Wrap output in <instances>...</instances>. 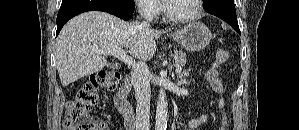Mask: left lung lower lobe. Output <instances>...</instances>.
<instances>
[{
    "mask_svg": "<svg viewBox=\"0 0 299 130\" xmlns=\"http://www.w3.org/2000/svg\"><path fill=\"white\" fill-rule=\"evenodd\" d=\"M204 9L206 12L227 22L237 33L240 34L234 0H207L204 2Z\"/></svg>",
    "mask_w": 299,
    "mask_h": 130,
    "instance_id": "1",
    "label": "left lung lower lobe"
}]
</instances>
